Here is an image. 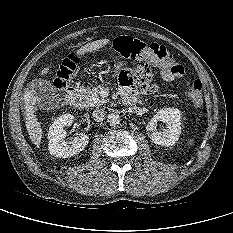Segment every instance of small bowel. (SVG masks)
I'll return each mask as SVG.
<instances>
[{"label":"small bowel","instance_id":"small-bowel-1","mask_svg":"<svg viewBox=\"0 0 233 233\" xmlns=\"http://www.w3.org/2000/svg\"><path fill=\"white\" fill-rule=\"evenodd\" d=\"M153 74V67L149 63H142L135 71V77L130 71H123L119 74L120 89L123 97L127 95H136L137 84L143 91L154 92L157 90L156 85L149 82V78Z\"/></svg>","mask_w":233,"mask_h":233}]
</instances>
